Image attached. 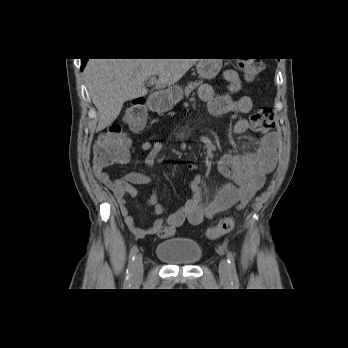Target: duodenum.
I'll return each instance as SVG.
<instances>
[{"mask_svg":"<svg viewBox=\"0 0 348 348\" xmlns=\"http://www.w3.org/2000/svg\"><path fill=\"white\" fill-rule=\"evenodd\" d=\"M160 101V97H158L157 95H152L150 96V106L153 108V109H156V105L157 103Z\"/></svg>","mask_w":348,"mask_h":348,"instance_id":"1","label":"duodenum"}]
</instances>
